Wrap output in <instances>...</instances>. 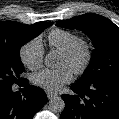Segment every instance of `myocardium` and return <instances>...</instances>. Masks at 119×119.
Instances as JSON below:
<instances>
[{
  "label": "myocardium",
  "mask_w": 119,
  "mask_h": 119,
  "mask_svg": "<svg viewBox=\"0 0 119 119\" xmlns=\"http://www.w3.org/2000/svg\"><path fill=\"white\" fill-rule=\"evenodd\" d=\"M62 55L69 60L81 58L80 62L72 69L74 74L81 75L87 70L92 61L93 50L88 41L79 39L70 48L62 52Z\"/></svg>",
  "instance_id": "myocardium-1"
}]
</instances>
